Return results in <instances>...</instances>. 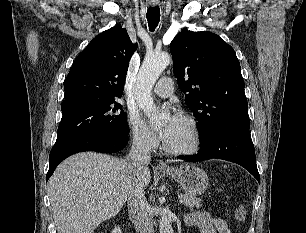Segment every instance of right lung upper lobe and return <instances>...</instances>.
Returning <instances> with one entry per match:
<instances>
[{"label": "right lung upper lobe", "mask_w": 306, "mask_h": 233, "mask_svg": "<svg viewBox=\"0 0 306 233\" xmlns=\"http://www.w3.org/2000/svg\"><path fill=\"white\" fill-rule=\"evenodd\" d=\"M136 48L126 29L119 26L96 36L75 59L65 80L63 102L79 98H120Z\"/></svg>", "instance_id": "obj_1"}]
</instances>
